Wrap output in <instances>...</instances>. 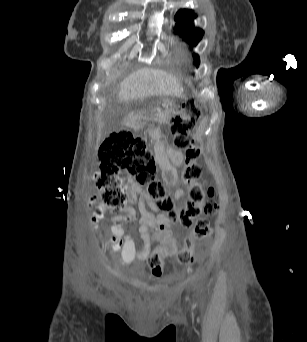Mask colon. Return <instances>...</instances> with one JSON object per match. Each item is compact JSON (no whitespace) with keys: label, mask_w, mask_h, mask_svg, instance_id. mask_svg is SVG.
Listing matches in <instances>:
<instances>
[{"label":"colon","mask_w":307,"mask_h":342,"mask_svg":"<svg viewBox=\"0 0 307 342\" xmlns=\"http://www.w3.org/2000/svg\"><path fill=\"white\" fill-rule=\"evenodd\" d=\"M198 119L197 106L193 102H187L170 120L174 144L184 153L181 178L184 182L194 183L189 192L190 200L185 205L176 206L166 194L163 183L155 179L156 165L146 141L125 130L111 132L102 143L98 155L99 168L93 177L94 184L100 191L98 215L101 218L113 216L132 219V213L125 212L127 193L122 185V173L134 176L141 185L146 186L148 194L155 199V207L159 212L168 214L172 222L190 228L178 254L179 263L189 266L194 264L192 251L196 242L212 234L210 222L199 217L201 212L212 217L219 207L215 189L208 187L207 198L204 200L205 190L201 184L196 183L202 176V169L197 164L201 151L192 142L191 133ZM152 230L157 240L163 242L156 244L154 253L148 258L153 277L159 278L163 270L161 254H177L178 239L172 235L168 226H154Z\"/></svg>","instance_id":"5ec220e1"}]
</instances>
